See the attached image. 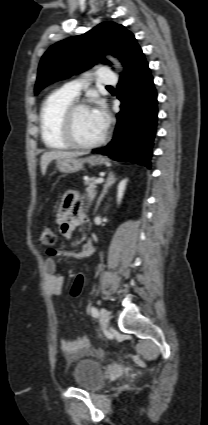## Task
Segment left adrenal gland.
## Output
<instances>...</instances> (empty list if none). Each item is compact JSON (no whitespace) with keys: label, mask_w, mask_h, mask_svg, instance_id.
<instances>
[{"label":"left adrenal gland","mask_w":208,"mask_h":425,"mask_svg":"<svg viewBox=\"0 0 208 425\" xmlns=\"http://www.w3.org/2000/svg\"><path fill=\"white\" fill-rule=\"evenodd\" d=\"M116 180H117V178L115 177L114 173L113 172H110L108 174V177L106 179V182H105V184L103 186L102 193H101L100 197L97 200V204H96V207H95V210H94L95 213L97 212L98 207H99L102 199L107 194L109 187H111L116 182Z\"/></svg>","instance_id":"left-adrenal-gland-1"}]
</instances>
